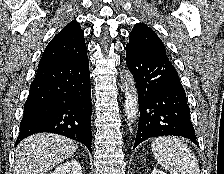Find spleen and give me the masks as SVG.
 I'll use <instances>...</instances> for the list:
<instances>
[{
  "instance_id": "obj_1",
  "label": "spleen",
  "mask_w": 224,
  "mask_h": 174,
  "mask_svg": "<svg viewBox=\"0 0 224 174\" xmlns=\"http://www.w3.org/2000/svg\"><path fill=\"white\" fill-rule=\"evenodd\" d=\"M151 147L155 159L170 174H200L196 156L179 138L158 137Z\"/></svg>"
}]
</instances>
